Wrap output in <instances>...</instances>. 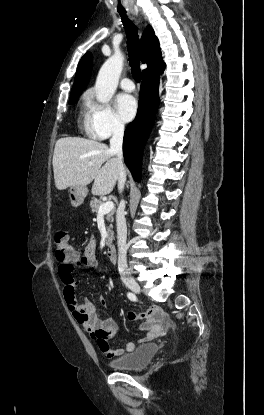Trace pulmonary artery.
Listing matches in <instances>:
<instances>
[{
  "label": "pulmonary artery",
  "mask_w": 264,
  "mask_h": 415,
  "mask_svg": "<svg viewBox=\"0 0 264 415\" xmlns=\"http://www.w3.org/2000/svg\"><path fill=\"white\" fill-rule=\"evenodd\" d=\"M119 85L121 89H123L124 91H128V92L133 91L135 88L134 83L129 78L122 79Z\"/></svg>",
  "instance_id": "pulmonary-artery-1"
}]
</instances>
